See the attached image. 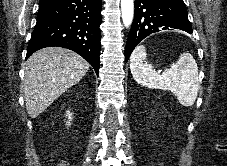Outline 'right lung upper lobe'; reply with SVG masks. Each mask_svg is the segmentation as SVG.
<instances>
[{
    "mask_svg": "<svg viewBox=\"0 0 227 166\" xmlns=\"http://www.w3.org/2000/svg\"><path fill=\"white\" fill-rule=\"evenodd\" d=\"M48 1H51V0H40L39 4H42V3H45V2H48Z\"/></svg>",
    "mask_w": 227,
    "mask_h": 166,
    "instance_id": "right-lung-upper-lobe-1",
    "label": "right lung upper lobe"
}]
</instances>
